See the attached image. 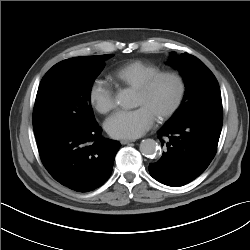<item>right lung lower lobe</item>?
<instances>
[{
    "mask_svg": "<svg viewBox=\"0 0 250 250\" xmlns=\"http://www.w3.org/2000/svg\"><path fill=\"white\" fill-rule=\"evenodd\" d=\"M96 124L80 131H61L36 137L39 155L49 174L63 186L92 191L111 175L120 143L104 138Z\"/></svg>",
    "mask_w": 250,
    "mask_h": 250,
    "instance_id": "1",
    "label": "right lung lower lobe"
}]
</instances>
